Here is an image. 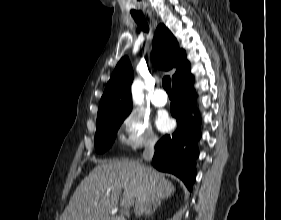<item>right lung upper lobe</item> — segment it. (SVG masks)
Wrapping results in <instances>:
<instances>
[{"instance_id": "obj_1", "label": "right lung upper lobe", "mask_w": 281, "mask_h": 220, "mask_svg": "<svg viewBox=\"0 0 281 220\" xmlns=\"http://www.w3.org/2000/svg\"><path fill=\"white\" fill-rule=\"evenodd\" d=\"M152 57L154 64L163 70H170L173 67L177 68V71L172 76L173 86L193 79V76L190 74V64L186 59L185 51L179 49L176 38L163 24H160L156 29ZM128 64L127 56L123 57L117 64L101 98L97 122L131 112L133 71Z\"/></svg>"}]
</instances>
